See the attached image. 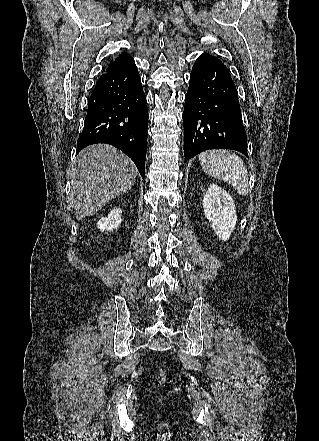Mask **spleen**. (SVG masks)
Returning a JSON list of instances; mask_svg holds the SVG:
<instances>
[{
  "label": "spleen",
  "mask_w": 319,
  "mask_h": 441,
  "mask_svg": "<svg viewBox=\"0 0 319 441\" xmlns=\"http://www.w3.org/2000/svg\"><path fill=\"white\" fill-rule=\"evenodd\" d=\"M199 161L205 173L231 184L242 196L248 194V171L239 156L227 150H212L202 152Z\"/></svg>",
  "instance_id": "1"
}]
</instances>
